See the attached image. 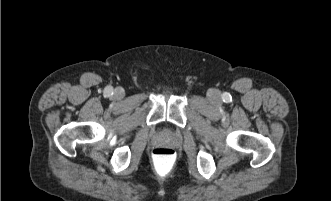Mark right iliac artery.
Here are the masks:
<instances>
[{"label": "right iliac artery", "mask_w": 331, "mask_h": 201, "mask_svg": "<svg viewBox=\"0 0 331 201\" xmlns=\"http://www.w3.org/2000/svg\"><path fill=\"white\" fill-rule=\"evenodd\" d=\"M105 95H106V96H111V95H113V89H112V88H108V89H106V91H105Z\"/></svg>", "instance_id": "right-iliac-artery-1"}]
</instances>
